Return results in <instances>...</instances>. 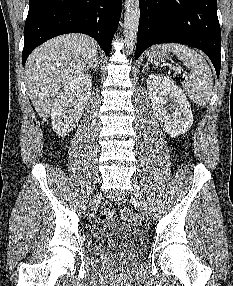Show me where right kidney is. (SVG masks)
<instances>
[{
    "instance_id": "ca27d5eb",
    "label": "right kidney",
    "mask_w": 233,
    "mask_h": 286,
    "mask_svg": "<svg viewBox=\"0 0 233 286\" xmlns=\"http://www.w3.org/2000/svg\"><path fill=\"white\" fill-rule=\"evenodd\" d=\"M92 90V79L81 74L64 85L51 108L52 128L59 136L68 135L78 123Z\"/></svg>"
}]
</instances>
